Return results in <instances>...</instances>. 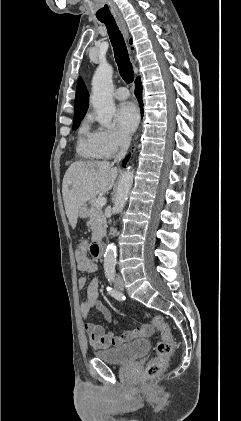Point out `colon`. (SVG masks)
Masks as SVG:
<instances>
[{"mask_svg": "<svg viewBox=\"0 0 241 421\" xmlns=\"http://www.w3.org/2000/svg\"><path fill=\"white\" fill-rule=\"evenodd\" d=\"M77 253L81 255L92 254V244L85 239L80 240L77 244ZM151 322L160 332V340L156 345V355L146 365L145 373L149 379L163 372L174 352V340L169 324L160 315H155Z\"/></svg>", "mask_w": 241, "mask_h": 421, "instance_id": "colon-1", "label": "colon"}]
</instances>
